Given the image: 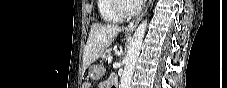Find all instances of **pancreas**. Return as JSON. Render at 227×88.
<instances>
[{"instance_id": "cf45deb5", "label": "pancreas", "mask_w": 227, "mask_h": 88, "mask_svg": "<svg viewBox=\"0 0 227 88\" xmlns=\"http://www.w3.org/2000/svg\"><path fill=\"white\" fill-rule=\"evenodd\" d=\"M109 56H111V49H106L101 54L103 60H107Z\"/></svg>"}]
</instances>
